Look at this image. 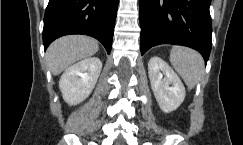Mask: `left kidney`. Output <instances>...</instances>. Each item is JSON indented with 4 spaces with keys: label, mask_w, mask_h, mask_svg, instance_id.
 <instances>
[{
    "label": "left kidney",
    "mask_w": 243,
    "mask_h": 145,
    "mask_svg": "<svg viewBox=\"0 0 243 145\" xmlns=\"http://www.w3.org/2000/svg\"><path fill=\"white\" fill-rule=\"evenodd\" d=\"M148 75L161 110L165 113L175 111L183 102L186 93L178 75L165 61L156 56L148 63Z\"/></svg>",
    "instance_id": "1"
}]
</instances>
